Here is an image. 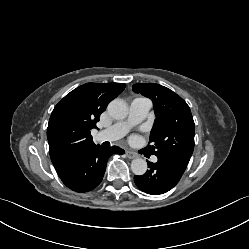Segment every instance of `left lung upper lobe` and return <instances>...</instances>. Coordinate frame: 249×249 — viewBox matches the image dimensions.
I'll return each instance as SVG.
<instances>
[{"mask_svg": "<svg viewBox=\"0 0 249 249\" xmlns=\"http://www.w3.org/2000/svg\"><path fill=\"white\" fill-rule=\"evenodd\" d=\"M133 91L153 101L156 115L145 151L189 163L194 149L195 124L187 103L170 89L155 83H138Z\"/></svg>", "mask_w": 249, "mask_h": 249, "instance_id": "left-lung-upper-lobe-1", "label": "left lung upper lobe"}]
</instances>
